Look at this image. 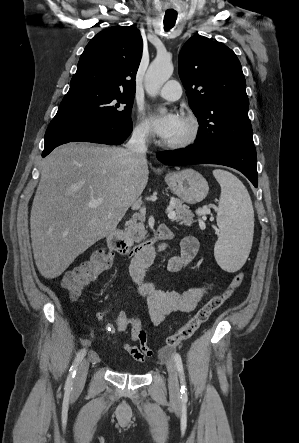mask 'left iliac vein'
<instances>
[{
    "label": "left iliac vein",
    "mask_w": 299,
    "mask_h": 443,
    "mask_svg": "<svg viewBox=\"0 0 299 443\" xmlns=\"http://www.w3.org/2000/svg\"><path fill=\"white\" fill-rule=\"evenodd\" d=\"M166 367L169 377L168 385H169L170 394L173 398L178 399L180 397L179 380H178L176 366L173 360L169 359L166 363Z\"/></svg>",
    "instance_id": "obj_1"
}]
</instances>
